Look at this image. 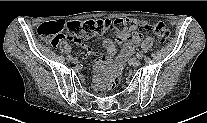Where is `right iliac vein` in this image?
I'll list each match as a JSON object with an SVG mask.
<instances>
[{
    "label": "right iliac vein",
    "mask_w": 207,
    "mask_h": 123,
    "mask_svg": "<svg viewBox=\"0 0 207 123\" xmlns=\"http://www.w3.org/2000/svg\"><path fill=\"white\" fill-rule=\"evenodd\" d=\"M71 62H73V63L76 64V63H78V59H77V58H72V59H71Z\"/></svg>",
    "instance_id": "right-iliac-vein-1"
}]
</instances>
